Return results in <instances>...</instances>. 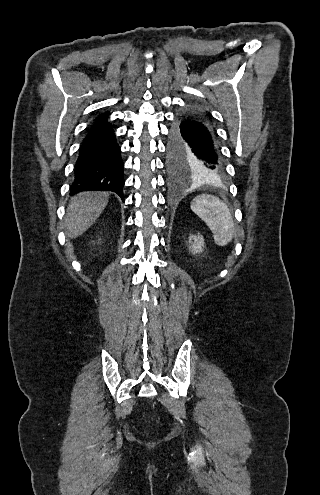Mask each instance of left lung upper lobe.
<instances>
[{
  "mask_svg": "<svg viewBox=\"0 0 320 495\" xmlns=\"http://www.w3.org/2000/svg\"><path fill=\"white\" fill-rule=\"evenodd\" d=\"M198 110L195 106L191 107ZM202 113L200 110H198ZM168 169L174 176L181 175H207V168L204 165L198 152L193 149L182 129L175 125L171 135L168 149Z\"/></svg>",
  "mask_w": 320,
  "mask_h": 495,
  "instance_id": "obj_1",
  "label": "left lung upper lobe"
}]
</instances>
